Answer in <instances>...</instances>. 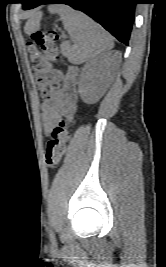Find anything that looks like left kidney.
<instances>
[{
    "instance_id": "obj_1",
    "label": "left kidney",
    "mask_w": 166,
    "mask_h": 267,
    "mask_svg": "<svg viewBox=\"0 0 166 267\" xmlns=\"http://www.w3.org/2000/svg\"><path fill=\"white\" fill-rule=\"evenodd\" d=\"M110 83L108 56L90 60L82 69L79 94L86 104H95L103 96Z\"/></svg>"
}]
</instances>
